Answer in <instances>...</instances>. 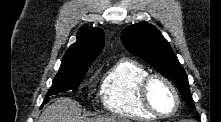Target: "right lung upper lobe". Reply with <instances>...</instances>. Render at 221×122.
Segmentation results:
<instances>
[{"mask_svg":"<svg viewBox=\"0 0 221 122\" xmlns=\"http://www.w3.org/2000/svg\"><path fill=\"white\" fill-rule=\"evenodd\" d=\"M104 46V33L93 27L80 29L77 41L65 53L61 71H77L86 69L98 56Z\"/></svg>","mask_w":221,"mask_h":122,"instance_id":"1","label":"right lung upper lobe"}]
</instances>
